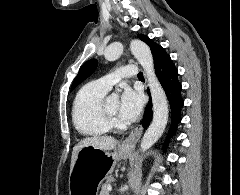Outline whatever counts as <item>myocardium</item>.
Returning a JSON list of instances; mask_svg holds the SVG:
<instances>
[{
    "mask_svg": "<svg viewBox=\"0 0 240 195\" xmlns=\"http://www.w3.org/2000/svg\"><path fill=\"white\" fill-rule=\"evenodd\" d=\"M109 97L104 99L103 102V114L104 117L112 128H121L124 125V122L120 116L115 115L109 108Z\"/></svg>",
    "mask_w": 240,
    "mask_h": 195,
    "instance_id": "obj_1",
    "label": "myocardium"
}]
</instances>
